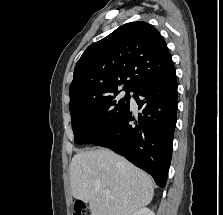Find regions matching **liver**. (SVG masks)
Wrapping results in <instances>:
<instances>
[{
	"mask_svg": "<svg viewBox=\"0 0 223 215\" xmlns=\"http://www.w3.org/2000/svg\"><path fill=\"white\" fill-rule=\"evenodd\" d=\"M70 183L72 195L89 203L91 215H129L148 205L154 193L148 173L106 147L76 153ZM104 187L116 199L107 197Z\"/></svg>",
	"mask_w": 223,
	"mask_h": 215,
	"instance_id": "liver-1",
	"label": "liver"
}]
</instances>
